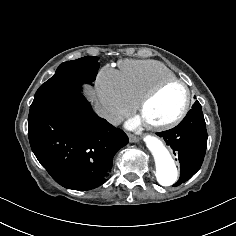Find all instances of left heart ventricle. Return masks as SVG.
Segmentation results:
<instances>
[{"label":"left heart ventricle","mask_w":236,"mask_h":236,"mask_svg":"<svg viewBox=\"0 0 236 236\" xmlns=\"http://www.w3.org/2000/svg\"><path fill=\"white\" fill-rule=\"evenodd\" d=\"M185 101V89L179 84L169 85L145 107L140 117L145 123H167L179 115Z\"/></svg>","instance_id":"obj_1"}]
</instances>
